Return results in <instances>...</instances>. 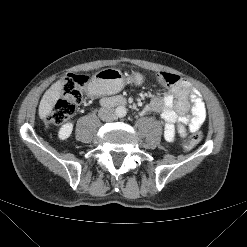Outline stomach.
Wrapping results in <instances>:
<instances>
[{"label": "stomach", "instance_id": "0dacf381", "mask_svg": "<svg viewBox=\"0 0 247 247\" xmlns=\"http://www.w3.org/2000/svg\"><path fill=\"white\" fill-rule=\"evenodd\" d=\"M134 82L141 84L143 78L140 74L134 75ZM126 83L125 78L118 70L104 69L97 72L91 82V86L97 90L99 94L110 93L121 89Z\"/></svg>", "mask_w": 247, "mask_h": 247}]
</instances>
